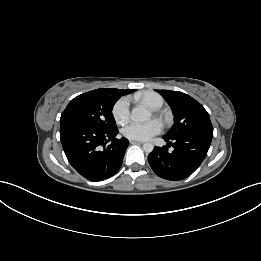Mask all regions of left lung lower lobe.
Returning a JSON list of instances; mask_svg holds the SVG:
<instances>
[{
	"label": "left lung lower lobe",
	"mask_w": 261,
	"mask_h": 261,
	"mask_svg": "<svg viewBox=\"0 0 261 261\" xmlns=\"http://www.w3.org/2000/svg\"><path fill=\"white\" fill-rule=\"evenodd\" d=\"M213 135L192 133L173 138L163 136L166 146L155 147L148 156V162L159 177L178 181L189 177L205 159ZM170 145L172 152L168 151Z\"/></svg>",
	"instance_id": "1"
}]
</instances>
